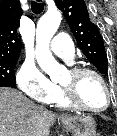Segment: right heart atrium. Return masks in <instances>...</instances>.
<instances>
[{
    "label": "right heart atrium",
    "instance_id": "d8ad5b80",
    "mask_svg": "<svg viewBox=\"0 0 117 136\" xmlns=\"http://www.w3.org/2000/svg\"><path fill=\"white\" fill-rule=\"evenodd\" d=\"M16 82L23 94L33 100L50 104L58 87L49 80L34 61L26 59L16 74Z\"/></svg>",
    "mask_w": 117,
    "mask_h": 136
}]
</instances>
